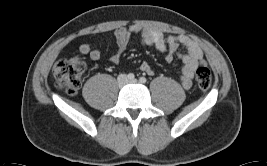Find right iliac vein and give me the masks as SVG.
<instances>
[{
    "instance_id": "63e3f726",
    "label": "right iliac vein",
    "mask_w": 267,
    "mask_h": 166,
    "mask_svg": "<svg viewBox=\"0 0 267 166\" xmlns=\"http://www.w3.org/2000/svg\"><path fill=\"white\" fill-rule=\"evenodd\" d=\"M117 81H118V86L120 88L124 87L127 84V82H128L127 77L124 74L120 75L118 77Z\"/></svg>"
}]
</instances>
